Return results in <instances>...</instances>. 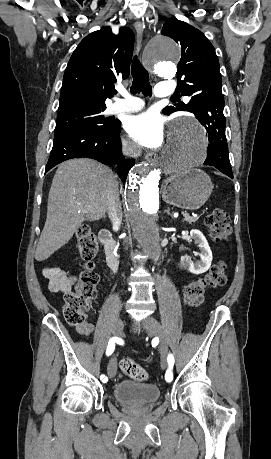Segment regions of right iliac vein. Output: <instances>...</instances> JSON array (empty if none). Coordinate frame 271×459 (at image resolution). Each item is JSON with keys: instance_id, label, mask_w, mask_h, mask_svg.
<instances>
[{"instance_id": "1", "label": "right iliac vein", "mask_w": 271, "mask_h": 459, "mask_svg": "<svg viewBox=\"0 0 271 459\" xmlns=\"http://www.w3.org/2000/svg\"><path fill=\"white\" fill-rule=\"evenodd\" d=\"M123 328H124L123 321L120 318L117 319L113 326L114 334L116 336H121ZM116 371H117V363L115 359H112L110 363L108 364V368H107V374L109 378H113L116 374Z\"/></svg>"}]
</instances>
